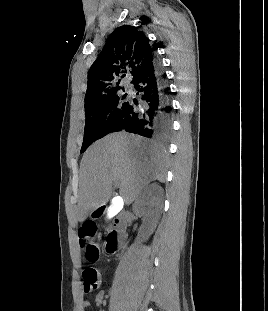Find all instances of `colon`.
<instances>
[{"label":"colon","instance_id":"obj_1","mask_svg":"<svg viewBox=\"0 0 268 311\" xmlns=\"http://www.w3.org/2000/svg\"><path fill=\"white\" fill-rule=\"evenodd\" d=\"M96 235L97 226L93 222L85 223L79 233L80 245L84 253V259L88 263H95L99 261L101 257V248L95 241ZM83 279L85 292H90L96 289L100 282L98 271L90 267L83 270Z\"/></svg>","mask_w":268,"mask_h":311}]
</instances>
